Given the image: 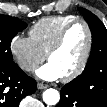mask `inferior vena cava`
Masks as SVG:
<instances>
[{
  "mask_svg": "<svg viewBox=\"0 0 107 107\" xmlns=\"http://www.w3.org/2000/svg\"><path fill=\"white\" fill-rule=\"evenodd\" d=\"M23 69H25L26 71H33L34 69H36V65L34 64H25L22 66Z\"/></svg>",
  "mask_w": 107,
  "mask_h": 107,
  "instance_id": "1",
  "label": "inferior vena cava"
}]
</instances>
